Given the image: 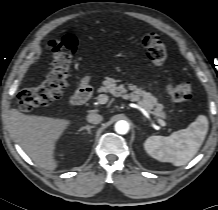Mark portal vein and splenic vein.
I'll return each instance as SVG.
<instances>
[{
    "label": "portal vein and splenic vein",
    "instance_id": "1",
    "mask_svg": "<svg viewBox=\"0 0 218 210\" xmlns=\"http://www.w3.org/2000/svg\"><path fill=\"white\" fill-rule=\"evenodd\" d=\"M108 98L106 95L104 94H101L97 97V101L99 104H105L107 102ZM136 108H138L140 111H142L143 113H147V111L142 108L140 105H137ZM158 123L162 126V127H165L166 126V123L165 121H163L162 119H157Z\"/></svg>",
    "mask_w": 218,
    "mask_h": 210
}]
</instances>
